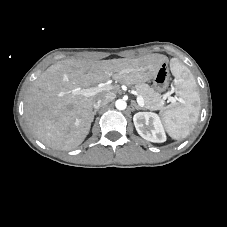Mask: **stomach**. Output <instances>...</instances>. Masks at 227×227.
Masks as SVG:
<instances>
[{"label":"stomach","instance_id":"0dacf381","mask_svg":"<svg viewBox=\"0 0 227 227\" xmlns=\"http://www.w3.org/2000/svg\"><path fill=\"white\" fill-rule=\"evenodd\" d=\"M168 64V60H163V62L159 65L160 69L153 77V86L159 92L165 91L169 86L170 74L167 69Z\"/></svg>","mask_w":227,"mask_h":227}]
</instances>
